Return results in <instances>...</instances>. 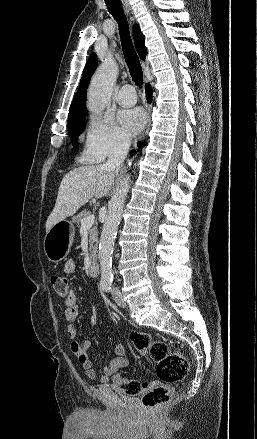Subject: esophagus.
Here are the masks:
<instances>
[{"label":"esophagus","instance_id":"obj_1","mask_svg":"<svg viewBox=\"0 0 257 439\" xmlns=\"http://www.w3.org/2000/svg\"><path fill=\"white\" fill-rule=\"evenodd\" d=\"M122 3L124 5V8H125L126 12L129 14L130 13L129 4L127 3L126 0H122ZM150 125H151V117H150V110H149V115H148V118H147V125H146V128L143 131L142 135L140 136V139H144L146 137V135H147V133L149 131Z\"/></svg>","mask_w":257,"mask_h":439}]
</instances>
